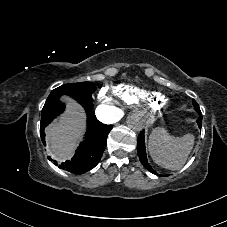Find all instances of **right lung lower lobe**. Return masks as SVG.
Returning a JSON list of instances; mask_svg holds the SVG:
<instances>
[{"mask_svg":"<svg viewBox=\"0 0 227 227\" xmlns=\"http://www.w3.org/2000/svg\"><path fill=\"white\" fill-rule=\"evenodd\" d=\"M87 113V131L85 140L77 148L75 155L71 160H67L59 165L61 169L75 174H83L93 169L100 161L102 154L107 145V136L112 129L111 125H106L97 120L95 114L91 113L92 102H80ZM65 105L60 101L52 104L48 110L42 114L40 123V136L45 145V127L53 119L61 114ZM51 160L50 157H48Z\"/></svg>","mask_w":227,"mask_h":227,"instance_id":"1","label":"right lung lower lobe"}]
</instances>
